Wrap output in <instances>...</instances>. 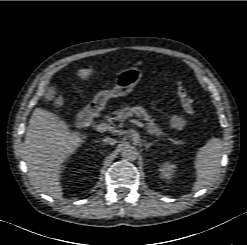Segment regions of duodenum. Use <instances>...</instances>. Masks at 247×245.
Masks as SVG:
<instances>
[{"label":"duodenum","instance_id":"1","mask_svg":"<svg viewBox=\"0 0 247 245\" xmlns=\"http://www.w3.org/2000/svg\"><path fill=\"white\" fill-rule=\"evenodd\" d=\"M97 110L94 107H89L83 109L79 113V122L82 126H89L91 125L94 117L96 116Z\"/></svg>","mask_w":247,"mask_h":245}]
</instances>
